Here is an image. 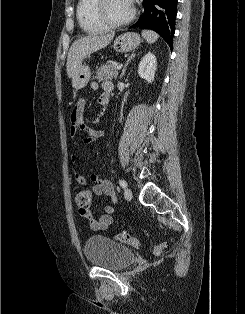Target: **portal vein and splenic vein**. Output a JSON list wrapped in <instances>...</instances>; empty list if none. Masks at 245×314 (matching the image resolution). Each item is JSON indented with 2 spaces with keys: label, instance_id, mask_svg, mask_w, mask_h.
Wrapping results in <instances>:
<instances>
[{
  "label": "portal vein and splenic vein",
  "instance_id": "18ae733b",
  "mask_svg": "<svg viewBox=\"0 0 245 314\" xmlns=\"http://www.w3.org/2000/svg\"><path fill=\"white\" fill-rule=\"evenodd\" d=\"M122 64H119L117 67H116V70H120L122 68Z\"/></svg>",
  "mask_w": 245,
  "mask_h": 314
}]
</instances>
